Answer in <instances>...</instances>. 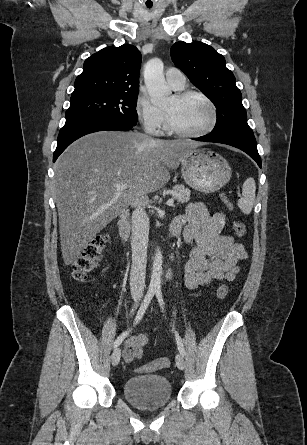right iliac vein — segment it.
Listing matches in <instances>:
<instances>
[{
	"mask_svg": "<svg viewBox=\"0 0 307 445\" xmlns=\"http://www.w3.org/2000/svg\"><path fill=\"white\" fill-rule=\"evenodd\" d=\"M120 358H121V350L120 348H116L111 356L112 365L116 366L119 363Z\"/></svg>",
	"mask_w": 307,
	"mask_h": 445,
	"instance_id": "right-iliac-vein-1",
	"label": "right iliac vein"
}]
</instances>
